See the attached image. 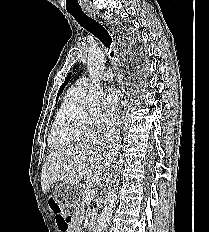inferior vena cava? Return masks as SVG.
Wrapping results in <instances>:
<instances>
[{"mask_svg": "<svg viewBox=\"0 0 209 232\" xmlns=\"http://www.w3.org/2000/svg\"><path fill=\"white\" fill-rule=\"evenodd\" d=\"M114 134V127L109 128L106 133L104 134V136L106 137L108 142H114L115 138L113 137Z\"/></svg>", "mask_w": 209, "mask_h": 232, "instance_id": "obj_1", "label": "inferior vena cava"}]
</instances>
